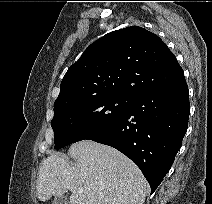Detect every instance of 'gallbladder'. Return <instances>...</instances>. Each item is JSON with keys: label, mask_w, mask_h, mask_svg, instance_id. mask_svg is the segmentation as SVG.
<instances>
[{"label": "gallbladder", "mask_w": 212, "mask_h": 204, "mask_svg": "<svg viewBox=\"0 0 212 204\" xmlns=\"http://www.w3.org/2000/svg\"><path fill=\"white\" fill-rule=\"evenodd\" d=\"M52 204H68V199L65 196H56L53 201Z\"/></svg>", "instance_id": "bac80fb5"}]
</instances>
